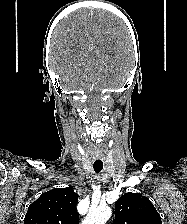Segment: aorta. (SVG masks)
<instances>
[{"label": "aorta", "instance_id": "1", "mask_svg": "<svg viewBox=\"0 0 187 224\" xmlns=\"http://www.w3.org/2000/svg\"><path fill=\"white\" fill-rule=\"evenodd\" d=\"M112 210L109 206H100L91 209L82 224H105L111 217Z\"/></svg>", "mask_w": 187, "mask_h": 224}]
</instances>
